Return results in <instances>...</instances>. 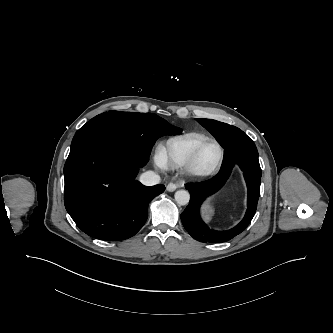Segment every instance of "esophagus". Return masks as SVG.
Listing matches in <instances>:
<instances>
[{
    "label": "esophagus",
    "instance_id": "34e87169",
    "mask_svg": "<svg viewBox=\"0 0 333 333\" xmlns=\"http://www.w3.org/2000/svg\"><path fill=\"white\" fill-rule=\"evenodd\" d=\"M178 188V185L176 183L170 182L167 186L166 189L169 192H173Z\"/></svg>",
    "mask_w": 333,
    "mask_h": 333
}]
</instances>
